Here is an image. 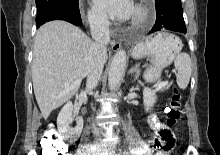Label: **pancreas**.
<instances>
[{
  "mask_svg": "<svg viewBox=\"0 0 220 155\" xmlns=\"http://www.w3.org/2000/svg\"><path fill=\"white\" fill-rule=\"evenodd\" d=\"M169 84L168 85H166V86H164L162 89H161V91H164V90H166V89H168L169 88Z\"/></svg>",
  "mask_w": 220,
  "mask_h": 155,
  "instance_id": "pancreas-1",
  "label": "pancreas"
}]
</instances>
